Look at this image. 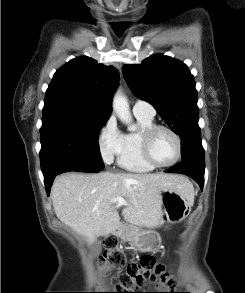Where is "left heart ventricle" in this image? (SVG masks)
Instances as JSON below:
<instances>
[{
	"instance_id": "obj_1",
	"label": "left heart ventricle",
	"mask_w": 245,
	"mask_h": 293,
	"mask_svg": "<svg viewBox=\"0 0 245 293\" xmlns=\"http://www.w3.org/2000/svg\"><path fill=\"white\" fill-rule=\"evenodd\" d=\"M176 153L177 146L172 135L165 130L157 131L151 143V154L155 161L160 164L169 163Z\"/></svg>"
}]
</instances>
